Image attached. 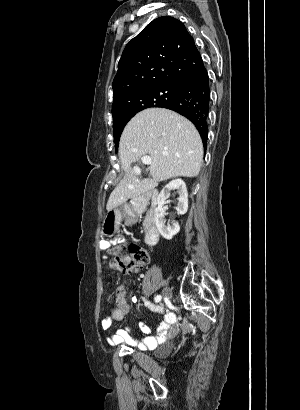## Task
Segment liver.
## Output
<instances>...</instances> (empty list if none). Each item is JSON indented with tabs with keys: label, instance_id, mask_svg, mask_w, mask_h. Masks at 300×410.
Returning <instances> with one entry per match:
<instances>
[{
	"label": "liver",
	"instance_id": "6515ba94",
	"mask_svg": "<svg viewBox=\"0 0 300 410\" xmlns=\"http://www.w3.org/2000/svg\"><path fill=\"white\" fill-rule=\"evenodd\" d=\"M151 158V179L140 180L133 163ZM119 157L124 178L110 194L106 209L154 189L158 182L199 174L203 145L195 126L185 117L164 108H149L135 115L120 138Z\"/></svg>",
	"mask_w": 300,
	"mask_h": 410
}]
</instances>
